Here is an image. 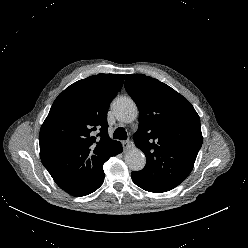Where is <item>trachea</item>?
Wrapping results in <instances>:
<instances>
[{"label":"trachea","mask_w":248,"mask_h":248,"mask_svg":"<svg viewBox=\"0 0 248 248\" xmlns=\"http://www.w3.org/2000/svg\"><path fill=\"white\" fill-rule=\"evenodd\" d=\"M114 139H119V140H126L127 139V133L123 127H119L114 131L113 134Z\"/></svg>","instance_id":"obj_1"}]
</instances>
